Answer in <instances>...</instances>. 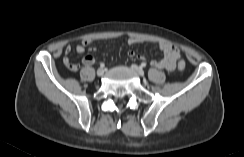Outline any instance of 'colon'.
<instances>
[{
	"instance_id": "1",
	"label": "colon",
	"mask_w": 244,
	"mask_h": 157,
	"mask_svg": "<svg viewBox=\"0 0 244 157\" xmlns=\"http://www.w3.org/2000/svg\"><path fill=\"white\" fill-rule=\"evenodd\" d=\"M73 66H74V65H73ZM177 67H178L179 70H184L185 67H186V64H185L184 61H180V62L178 63V65H177Z\"/></svg>"
}]
</instances>
